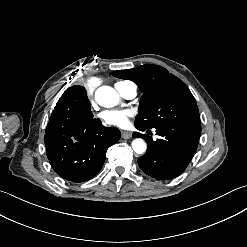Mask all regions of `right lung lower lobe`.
<instances>
[{
	"mask_svg": "<svg viewBox=\"0 0 247 247\" xmlns=\"http://www.w3.org/2000/svg\"><path fill=\"white\" fill-rule=\"evenodd\" d=\"M115 127H104L67 99L57 102L44 137L47 157L54 171L72 182H84L101 170L107 149L120 138Z\"/></svg>",
	"mask_w": 247,
	"mask_h": 247,
	"instance_id": "right-lung-lower-lobe-1",
	"label": "right lung lower lobe"
}]
</instances>
